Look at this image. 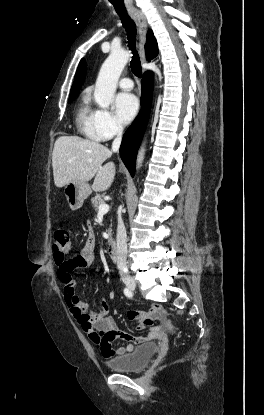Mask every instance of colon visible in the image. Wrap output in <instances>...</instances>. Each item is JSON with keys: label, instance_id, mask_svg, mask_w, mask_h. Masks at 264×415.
<instances>
[{"label": "colon", "instance_id": "1", "mask_svg": "<svg viewBox=\"0 0 264 415\" xmlns=\"http://www.w3.org/2000/svg\"><path fill=\"white\" fill-rule=\"evenodd\" d=\"M54 246H55V261L58 265H65L77 255L73 252V243L71 233L65 227H59L54 233ZM69 296L73 297L74 290H68ZM145 324L152 325L151 319H145ZM168 327L174 330V324L171 320H167Z\"/></svg>", "mask_w": 264, "mask_h": 415}]
</instances>
